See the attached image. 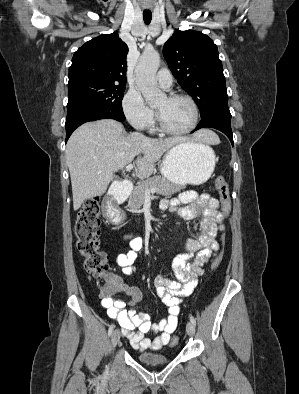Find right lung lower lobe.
<instances>
[{
  "mask_svg": "<svg viewBox=\"0 0 299 394\" xmlns=\"http://www.w3.org/2000/svg\"><path fill=\"white\" fill-rule=\"evenodd\" d=\"M111 118L117 121H124V115H118L106 108H102L94 105H77L67 107V118H66V141L72 134V132L79 127L81 124L89 121H95L99 119Z\"/></svg>",
  "mask_w": 299,
  "mask_h": 394,
  "instance_id": "right-lung-lower-lobe-1",
  "label": "right lung lower lobe"
}]
</instances>
